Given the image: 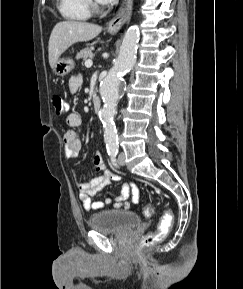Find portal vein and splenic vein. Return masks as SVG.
<instances>
[{
  "instance_id": "obj_1",
  "label": "portal vein and splenic vein",
  "mask_w": 243,
  "mask_h": 289,
  "mask_svg": "<svg viewBox=\"0 0 243 289\" xmlns=\"http://www.w3.org/2000/svg\"><path fill=\"white\" fill-rule=\"evenodd\" d=\"M92 60L91 59H88V60H86L85 61V66L87 67V68H89V67H91L92 66Z\"/></svg>"
}]
</instances>
